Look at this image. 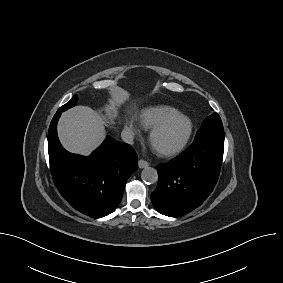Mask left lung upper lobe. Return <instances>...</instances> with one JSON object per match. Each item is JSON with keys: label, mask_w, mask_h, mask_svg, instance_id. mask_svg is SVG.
<instances>
[{"label": "left lung upper lobe", "mask_w": 283, "mask_h": 283, "mask_svg": "<svg viewBox=\"0 0 283 283\" xmlns=\"http://www.w3.org/2000/svg\"><path fill=\"white\" fill-rule=\"evenodd\" d=\"M199 137H212L224 141V129L217 113H213L203 121L195 136V138Z\"/></svg>", "instance_id": "obj_1"}]
</instances>
